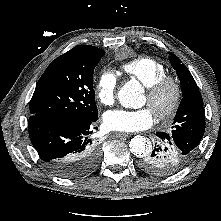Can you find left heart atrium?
Returning a JSON list of instances; mask_svg holds the SVG:
<instances>
[{"label":"left heart atrium","mask_w":221,"mask_h":221,"mask_svg":"<svg viewBox=\"0 0 221 221\" xmlns=\"http://www.w3.org/2000/svg\"><path fill=\"white\" fill-rule=\"evenodd\" d=\"M154 114L151 108L137 110L114 109L106 111L103 122L107 129L120 132L143 130L153 124Z\"/></svg>","instance_id":"left-heart-atrium-1"}]
</instances>
